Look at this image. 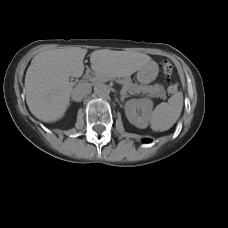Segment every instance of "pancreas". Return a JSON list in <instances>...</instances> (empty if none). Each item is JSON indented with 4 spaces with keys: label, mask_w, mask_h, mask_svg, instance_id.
I'll list each match as a JSON object with an SVG mask.
<instances>
[{
    "label": "pancreas",
    "mask_w": 228,
    "mask_h": 228,
    "mask_svg": "<svg viewBox=\"0 0 228 228\" xmlns=\"http://www.w3.org/2000/svg\"><path fill=\"white\" fill-rule=\"evenodd\" d=\"M110 79L113 78H109L107 76H103V75H96L94 77L91 78L92 81L94 82H106ZM120 83H122L123 88L126 89V92H129L131 94H148V96L150 97H166V92L164 90V88L161 85H138L135 83H132V81L130 79H120L118 80Z\"/></svg>",
    "instance_id": "pancreas-1"
}]
</instances>
